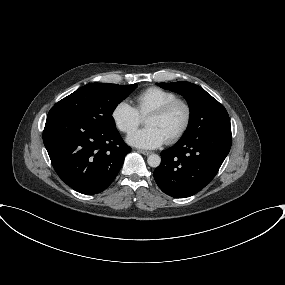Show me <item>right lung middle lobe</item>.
Here are the masks:
<instances>
[{"label":"right lung middle lobe","mask_w":285,"mask_h":285,"mask_svg":"<svg viewBox=\"0 0 285 285\" xmlns=\"http://www.w3.org/2000/svg\"><path fill=\"white\" fill-rule=\"evenodd\" d=\"M137 84H87L60 100L50 111L69 113L101 130H115L112 113Z\"/></svg>","instance_id":"1"}]
</instances>
